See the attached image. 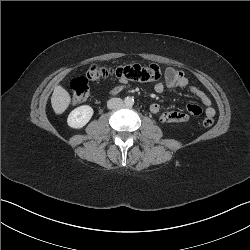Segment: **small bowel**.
<instances>
[{"mask_svg":"<svg viewBox=\"0 0 250 250\" xmlns=\"http://www.w3.org/2000/svg\"><path fill=\"white\" fill-rule=\"evenodd\" d=\"M128 82L121 79L120 85L115 87L111 92L116 93L119 90L126 88ZM165 88H181L192 93L203 105L206 116L213 117L215 109L209 96L200 90L198 87L191 84L188 77L181 70L173 67H168L165 70L164 80L154 84V90L157 93H163ZM150 111L154 114L158 121L162 124L184 123L190 121L192 117L199 116L202 113L201 107L195 104H189L186 107V112L182 111H165L161 110L159 104L154 103L150 106Z\"/></svg>","mask_w":250,"mask_h":250,"instance_id":"obj_1","label":"small bowel"}]
</instances>
